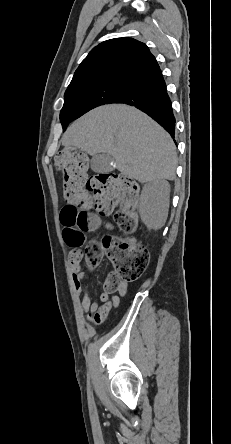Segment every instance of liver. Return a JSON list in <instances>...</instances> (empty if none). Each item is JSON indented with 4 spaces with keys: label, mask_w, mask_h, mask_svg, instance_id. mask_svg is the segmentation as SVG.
Here are the masks:
<instances>
[{
    "label": "liver",
    "mask_w": 231,
    "mask_h": 444,
    "mask_svg": "<svg viewBox=\"0 0 231 444\" xmlns=\"http://www.w3.org/2000/svg\"><path fill=\"white\" fill-rule=\"evenodd\" d=\"M89 155L107 153L116 168L141 183L173 180L177 166L170 135L140 110L124 105L97 107L76 120L61 139Z\"/></svg>",
    "instance_id": "1"
}]
</instances>
